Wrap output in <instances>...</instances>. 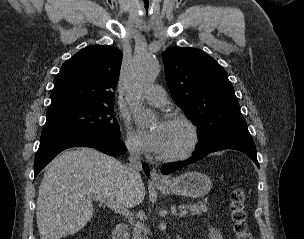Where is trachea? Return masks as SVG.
I'll return each mask as SVG.
<instances>
[{"instance_id":"1","label":"trachea","mask_w":304,"mask_h":239,"mask_svg":"<svg viewBox=\"0 0 304 239\" xmlns=\"http://www.w3.org/2000/svg\"><path fill=\"white\" fill-rule=\"evenodd\" d=\"M149 3H150V0H143L142 5L144 7H147L149 5Z\"/></svg>"}]
</instances>
